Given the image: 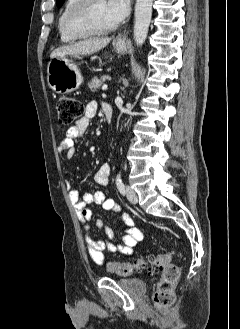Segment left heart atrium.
Instances as JSON below:
<instances>
[{"label": "left heart atrium", "mask_w": 240, "mask_h": 329, "mask_svg": "<svg viewBox=\"0 0 240 329\" xmlns=\"http://www.w3.org/2000/svg\"><path fill=\"white\" fill-rule=\"evenodd\" d=\"M129 0H108L107 9L112 19L117 23L125 19L129 13Z\"/></svg>", "instance_id": "obj_1"}]
</instances>
